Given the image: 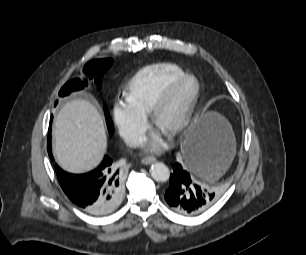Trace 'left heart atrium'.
I'll return each mask as SVG.
<instances>
[{"label":"left heart atrium","mask_w":306,"mask_h":255,"mask_svg":"<svg viewBox=\"0 0 306 255\" xmlns=\"http://www.w3.org/2000/svg\"><path fill=\"white\" fill-rule=\"evenodd\" d=\"M162 146H163L162 132L161 130H158L152 137L149 149L151 151H158L162 148Z\"/></svg>","instance_id":"1"}]
</instances>
